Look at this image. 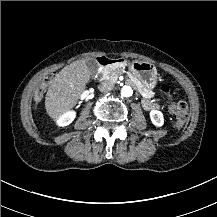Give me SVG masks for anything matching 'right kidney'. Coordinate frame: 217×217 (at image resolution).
Masks as SVG:
<instances>
[{
    "label": "right kidney",
    "instance_id": "1",
    "mask_svg": "<svg viewBox=\"0 0 217 217\" xmlns=\"http://www.w3.org/2000/svg\"><path fill=\"white\" fill-rule=\"evenodd\" d=\"M76 117L75 111H68L64 113L58 120L57 124L59 126H66L69 125Z\"/></svg>",
    "mask_w": 217,
    "mask_h": 217
}]
</instances>
